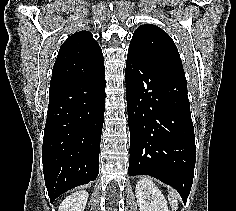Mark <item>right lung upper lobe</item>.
I'll return each mask as SVG.
<instances>
[{"mask_svg": "<svg viewBox=\"0 0 236 211\" xmlns=\"http://www.w3.org/2000/svg\"><path fill=\"white\" fill-rule=\"evenodd\" d=\"M104 69L100 46L90 32L80 31L62 44L53 67L50 87L84 80Z\"/></svg>", "mask_w": 236, "mask_h": 211, "instance_id": "cb5924a9", "label": "right lung upper lobe"}]
</instances>
